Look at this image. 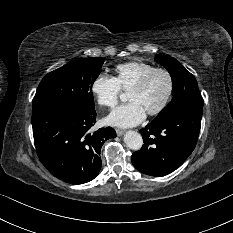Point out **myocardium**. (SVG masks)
<instances>
[{"label":"myocardium","mask_w":233,"mask_h":233,"mask_svg":"<svg viewBox=\"0 0 233 233\" xmlns=\"http://www.w3.org/2000/svg\"><path fill=\"white\" fill-rule=\"evenodd\" d=\"M158 73H163L166 75L168 80V89L162 103L154 110L147 112L150 116H155L162 113L168 106L174 91V79L172 74L165 68H155L145 76H143L129 91H141L143 90L151 78Z\"/></svg>","instance_id":"f54148a6"}]
</instances>
